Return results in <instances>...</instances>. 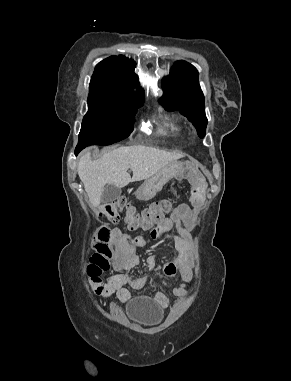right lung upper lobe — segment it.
Listing matches in <instances>:
<instances>
[{
    "label": "right lung upper lobe",
    "mask_w": 291,
    "mask_h": 381,
    "mask_svg": "<svg viewBox=\"0 0 291 381\" xmlns=\"http://www.w3.org/2000/svg\"><path fill=\"white\" fill-rule=\"evenodd\" d=\"M134 68V61L122 55L101 61L91 78L89 96L133 105L143 104V91L138 89L133 92V88L139 86Z\"/></svg>",
    "instance_id": "obj_1"
}]
</instances>
